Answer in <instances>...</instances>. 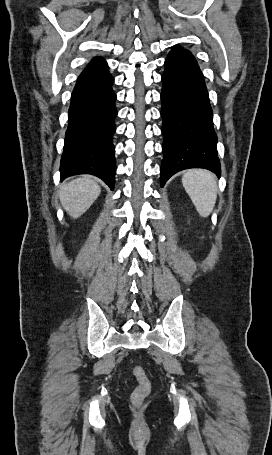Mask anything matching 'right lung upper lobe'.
Masks as SVG:
<instances>
[{"mask_svg":"<svg viewBox=\"0 0 272 455\" xmlns=\"http://www.w3.org/2000/svg\"><path fill=\"white\" fill-rule=\"evenodd\" d=\"M107 63L101 57H95L89 65L83 70L79 78L92 77L107 71Z\"/></svg>","mask_w":272,"mask_h":455,"instance_id":"1","label":"right lung upper lobe"}]
</instances>
